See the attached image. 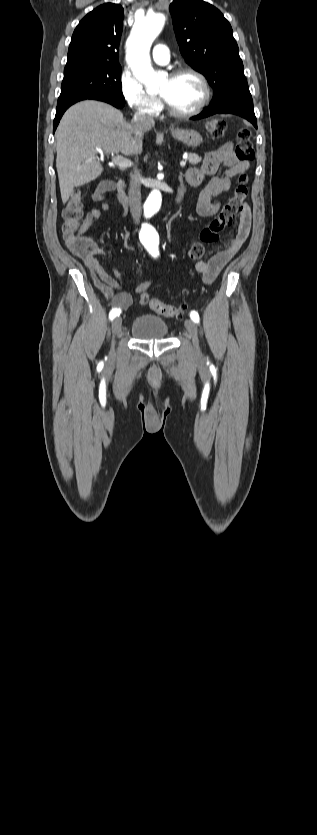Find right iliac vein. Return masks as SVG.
Instances as JSON below:
<instances>
[{
	"instance_id": "right-iliac-vein-1",
	"label": "right iliac vein",
	"mask_w": 317,
	"mask_h": 835,
	"mask_svg": "<svg viewBox=\"0 0 317 835\" xmlns=\"http://www.w3.org/2000/svg\"><path fill=\"white\" fill-rule=\"evenodd\" d=\"M121 326H122V319H121L120 317L115 318V319L113 320V322H112V333H113V338H114L116 335H119L120 330H121ZM113 342H114V340H113Z\"/></svg>"
}]
</instances>
